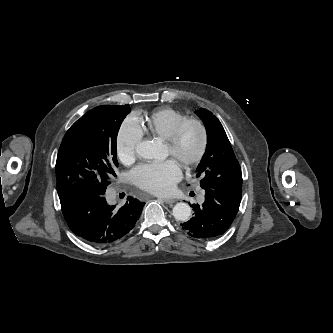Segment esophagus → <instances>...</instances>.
Returning <instances> with one entry per match:
<instances>
[{"mask_svg":"<svg viewBox=\"0 0 333 333\" xmlns=\"http://www.w3.org/2000/svg\"><path fill=\"white\" fill-rule=\"evenodd\" d=\"M163 201H164L166 204H173V203H175V200H174V199H171V198H164Z\"/></svg>","mask_w":333,"mask_h":333,"instance_id":"1","label":"esophagus"}]
</instances>
